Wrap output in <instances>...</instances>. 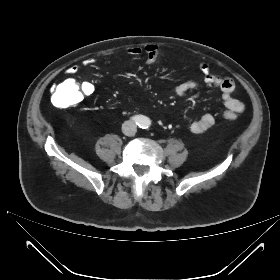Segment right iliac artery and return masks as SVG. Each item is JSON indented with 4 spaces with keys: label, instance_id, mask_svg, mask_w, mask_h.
Segmentation results:
<instances>
[{
    "label": "right iliac artery",
    "instance_id": "obj_1",
    "mask_svg": "<svg viewBox=\"0 0 280 280\" xmlns=\"http://www.w3.org/2000/svg\"><path fill=\"white\" fill-rule=\"evenodd\" d=\"M134 122L139 123L141 121V116L136 115L131 118Z\"/></svg>",
    "mask_w": 280,
    "mask_h": 280
}]
</instances>
